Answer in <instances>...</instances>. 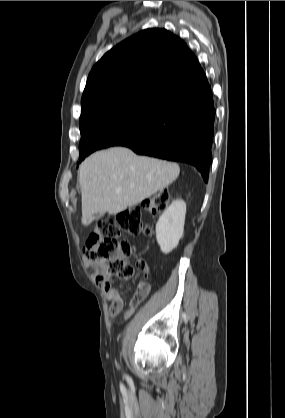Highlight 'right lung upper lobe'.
<instances>
[{"mask_svg":"<svg viewBox=\"0 0 285 418\" xmlns=\"http://www.w3.org/2000/svg\"><path fill=\"white\" fill-rule=\"evenodd\" d=\"M207 81L198 59L166 29H146L107 52L92 68L80 119L113 104L146 100L169 105Z\"/></svg>","mask_w":285,"mask_h":418,"instance_id":"1","label":"right lung upper lobe"}]
</instances>
